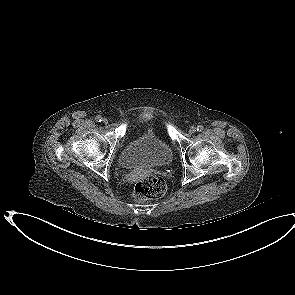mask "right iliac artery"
<instances>
[{"label":"right iliac artery","mask_w":295,"mask_h":295,"mask_svg":"<svg viewBox=\"0 0 295 295\" xmlns=\"http://www.w3.org/2000/svg\"><path fill=\"white\" fill-rule=\"evenodd\" d=\"M95 119H96L97 122H101L102 121V117L100 115L96 116Z\"/></svg>","instance_id":"1"}]
</instances>
